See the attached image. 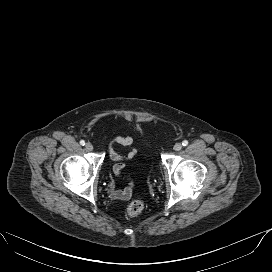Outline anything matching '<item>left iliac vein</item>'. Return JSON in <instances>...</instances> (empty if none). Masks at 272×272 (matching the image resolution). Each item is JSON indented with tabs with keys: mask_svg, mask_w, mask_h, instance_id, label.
I'll list each match as a JSON object with an SVG mask.
<instances>
[{
	"mask_svg": "<svg viewBox=\"0 0 272 272\" xmlns=\"http://www.w3.org/2000/svg\"><path fill=\"white\" fill-rule=\"evenodd\" d=\"M175 151H180L182 149V144L181 143H176L173 147Z\"/></svg>",
	"mask_w": 272,
	"mask_h": 272,
	"instance_id": "obj_1",
	"label": "left iliac vein"
}]
</instances>
